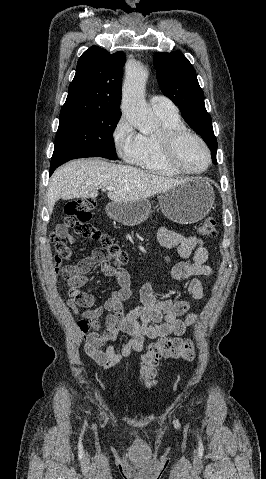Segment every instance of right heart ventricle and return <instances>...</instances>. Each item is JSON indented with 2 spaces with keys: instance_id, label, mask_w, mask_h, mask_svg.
Returning a JSON list of instances; mask_svg holds the SVG:
<instances>
[{
  "instance_id": "right-heart-ventricle-1",
  "label": "right heart ventricle",
  "mask_w": 266,
  "mask_h": 479,
  "mask_svg": "<svg viewBox=\"0 0 266 479\" xmlns=\"http://www.w3.org/2000/svg\"><path fill=\"white\" fill-rule=\"evenodd\" d=\"M163 129L185 128L178 114H158ZM162 132V131H161ZM160 133L140 135V150L133 163L142 170L161 176H177L180 173L172 169L164 160L160 142Z\"/></svg>"
}]
</instances>
